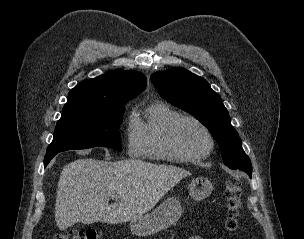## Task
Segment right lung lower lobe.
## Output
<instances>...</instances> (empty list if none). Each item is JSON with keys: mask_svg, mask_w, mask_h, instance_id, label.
I'll use <instances>...</instances> for the list:
<instances>
[{"mask_svg": "<svg viewBox=\"0 0 304 239\" xmlns=\"http://www.w3.org/2000/svg\"><path fill=\"white\" fill-rule=\"evenodd\" d=\"M57 153H49L45 155L44 158V167L47 166V164L50 162V160L56 155Z\"/></svg>", "mask_w": 304, "mask_h": 239, "instance_id": "obj_1", "label": "right lung lower lobe"}]
</instances>
